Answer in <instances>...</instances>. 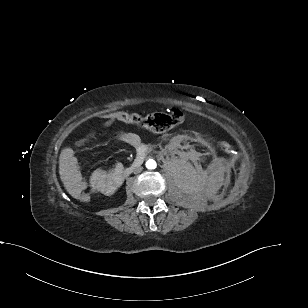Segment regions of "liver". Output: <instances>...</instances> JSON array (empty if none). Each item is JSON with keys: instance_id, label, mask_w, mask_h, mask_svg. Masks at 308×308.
I'll list each match as a JSON object with an SVG mask.
<instances>
[{"instance_id": "obj_1", "label": "liver", "mask_w": 308, "mask_h": 308, "mask_svg": "<svg viewBox=\"0 0 308 308\" xmlns=\"http://www.w3.org/2000/svg\"><path fill=\"white\" fill-rule=\"evenodd\" d=\"M67 190L71 193V191H70V189H69V188H67Z\"/></svg>"}]
</instances>
